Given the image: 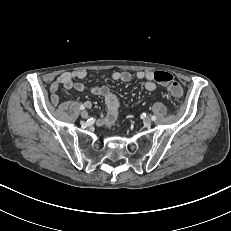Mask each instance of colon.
<instances>
[{"mask_svg":"<svg viewBox=\"0 0 231 231\" xmlns=\"http://www.w3.org/2000/svg\"><path fill=\"white\" fill-rule=\"evenodd\" d=\"M155 82L166 85L171 95L179 97L182 95V87L179 83L174 81L173 75L167 71H155L153 73Z\"/></svg>","mask_w":231,"mask_h":231,"instance_id":"obj_1","label":"colon"}]
</instances>
